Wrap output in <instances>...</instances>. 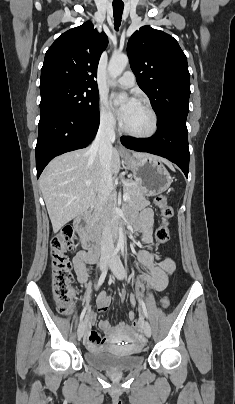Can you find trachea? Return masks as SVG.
I'll return each mask as SVG.
<instances>
[{
  "label": "trachea",
  "instance_id": "1",
  "mask_svg": "<svg viewBox=\"0 0 235 404\" xmlns=\"http://www.w3.org/2000/svg\"><path fill=\"white\" fill-rule=\"evenodd\" d=\"M123 9V4H113L114 26L116 31H118L121 23Z\"/></svg>",
  "mask_w": 235,
  "mask_h": 404
}]
</instances>
